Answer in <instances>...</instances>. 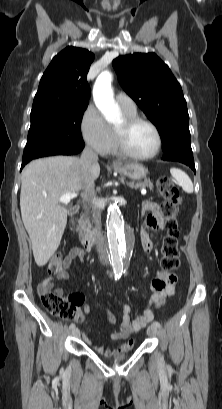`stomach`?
<instances>
[{"mask_svg": "<svg viewBox=\"0 0 222 409\" xmlns=\"http://www.w3.org/2000/svg\"><path fill=\"white\" fill-rule=\"evenodd\" d=\"M114 170L132 180H141L147 175V168L139 163H128L114 167Z\"/></svg>", "mask_w": 222, "mask_h": 409, "instance_id": "1", "label": "stomach"}]
</instances>
